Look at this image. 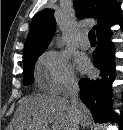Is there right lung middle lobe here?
<instances>
[{
  "mask_svg": "<svg viewBox=\"0 0 123 130\" xmlns=\"http://www.w3.org/2000/svg\"><path fill=\"white\" fill-rule=\"evenodd\" d=\"M41 54L42 53L31 54L23 57V84L24 85H31L33 83L34 80L33 67L36 60Z\"/></svg>",
  "mask_w": 123,
  "mask_h": 130,
  "instance_id": "dd1d6c3e",
  "label": "right lung middle lobe"
}]
</instances>
